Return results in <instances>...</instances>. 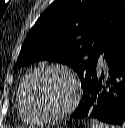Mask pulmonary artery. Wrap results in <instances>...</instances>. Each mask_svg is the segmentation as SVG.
Listing matches in <instances>:
<instances>
[{
	"label": "pulmonary artery",
	"mask_w": 125,
	"mask_h": 128,
	"mask_svg": "<svg viewBox=\"0 0 125 128\" xmlns=\"http://www.w3.org/2000/svg\"><path fill=\"white\" fill-rule=\"evenodd\" d=\"M101 63L103 64V60L101 59Z\"/></svg>",
	"instance_id": "1"
}]
</instances>
